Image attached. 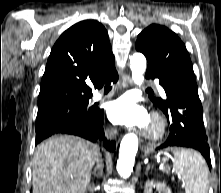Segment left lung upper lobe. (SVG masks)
Here are the masks:
<instances>
[{"instance_id":"5c2ea615","label":"left lung upper lobe","mask_w":221,"mask_h":193,"mask_svg":"<svg viewBox=\"0 0 221 193\" xmlns=\"http://www.w3.org/2000/svg\"><path fill=\"white\" fill-rule=\"evenodd\" d=\"M136 49L146 56L148 65L172 74L194 76L185 45L174 32L164 26L152 24L142 31L137 37ZM155 99L160 104H165V100Z\"/></svg>"}]
</instances>
